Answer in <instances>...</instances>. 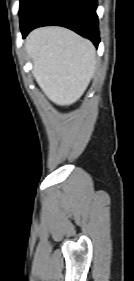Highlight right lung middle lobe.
Listing matches in <instances>:
<instances>
[{
	"label": "right lung middle lobe",
	"mask_w": 134,
	"mask_h": 281,
	"mask_svg": "<svg viewBox=\"0 0 134 281\" xmlns=\"http://www.w3.org/2000/svg\"><path fill=\"white\" fill-rule=\"evenodd\" d=\"M34 2L35 0H20V9H19L20 23H22L23 20L26 18Z\"/></svg>",
	"instance_id": "obj_1"
}]
</instances>
